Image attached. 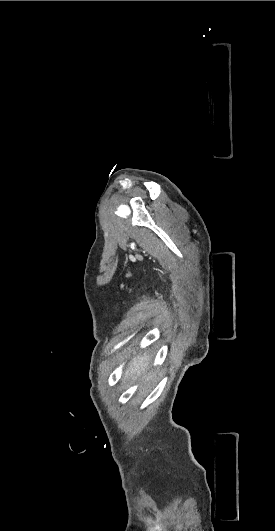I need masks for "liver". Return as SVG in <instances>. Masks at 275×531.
<instances>
[{
    "mask_svg": "<svg viewBox=\"0 0 275 531\" xmlns=\"http://www.w3.org/2000/svg\"><path fill=\"white\" fill-rule=\"evenodd\" d=\"M149 355H136L128 365L127 371H125L126 379H131L132 383L143 379V383L151 381L153 373H147V369L150 367Z\"/></svg>",
    "mask_w": 275,
    "mask_h": 531,
    "instance_id": "liver-1",
    "label": "liver"
}]
</instances>
